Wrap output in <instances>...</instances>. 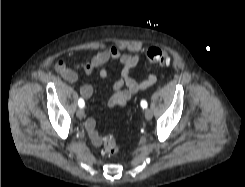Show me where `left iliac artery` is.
I'll return each mask as SVG.
<instances>
[{"label":"left iliac artery","instance_id":"left-iliac-artery-1","mask_svg":"<svg viewBox=\"0 0 245 187\" xmlns=\"http://www.w3.org/2000/svg\"><path fill=\"white\" fill-rule=\"evenodd\" d=\"M141 107L146 108L147 107V102L145 100L141 101Z\"/></svg>","mask_w":245,"mask_h":187}]
</instances>
